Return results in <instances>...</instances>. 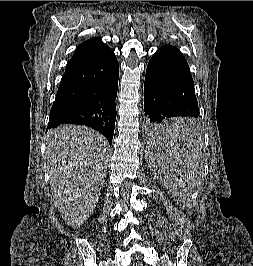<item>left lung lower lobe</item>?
I'll use <instances>...</instances> for the list:
<instances>
[{"instance_id": "0a47b994", "label": "left lung lower lobe", "mask_w": 253, "mask_h": 266, "mask_svg": "<svg viewBox=\"0 0 253 266\" xmlns=\"http://www.w3.org/2000/svg\"><path fill=\"white\" fill-rule=\"evenodd\" d=\"M144 111L152 140L185 138L195 129L191 118L199 116V109L194 82L187 61L172 45L162 46L148 63Z\"/></svg>"}]
</instances>
